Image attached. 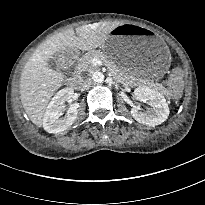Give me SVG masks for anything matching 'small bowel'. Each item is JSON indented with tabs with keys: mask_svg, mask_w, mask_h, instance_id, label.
Masks as SVG:
<instances>
[{
	"mask_svg": "<svg viewBox=\"0 0 205 205\" xmlns=\"http://www.w3.org/2000/svg\"><path fill=\"white\" fill-rule=\"evenodd\" d=\"M167 87L173 96H177L181 90V76L174 72L167 80Z\"/></svg>",
	"mask_w": 205,
	"mask_h": 205,
	"instance_id": "c3829d8e",
	"label": "small bowel"
}]
</instances>
